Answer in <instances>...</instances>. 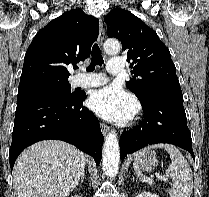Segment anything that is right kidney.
Returning a JSON list of instances; mask_svg holds the SVG:
<instances>
[{
	"label": "right kidney",
	"instance_id": "ca27d5eb",
	"mask_svg": "<svg viewBox=\"0 0 209 197\" xmlns=\"http://www.w3.org/2000/svg\"><path fill=\"white\" fill-rule=\"evenodd\" d=\"M70 197H81L80 195H73V196H70Z\"/></svg>",
	"mask_w": 209,
	"mask_h": 197
}]
</instances>
